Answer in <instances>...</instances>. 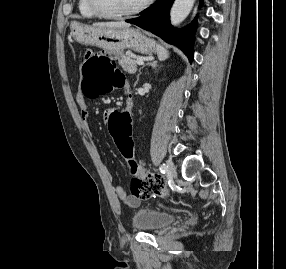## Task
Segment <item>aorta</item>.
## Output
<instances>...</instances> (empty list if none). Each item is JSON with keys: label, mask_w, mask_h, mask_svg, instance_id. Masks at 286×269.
<instances>
[{"label": "aorta", "mask_w": 286, "mask_h": 269, "mask_svg": "<svg viewBox=\"0 0 286 269\" xmlns=\"http://www.w3.org/2000/svg\"><path fill=\"white\" fill-rule=\"evenodd\" d=\"M195 0H175L171 11L170 21L173 26L179 25L189 15Z\"/></svg>", "instance_id": "obj_1"}]
</instances>
